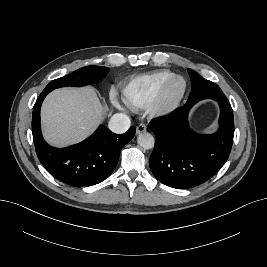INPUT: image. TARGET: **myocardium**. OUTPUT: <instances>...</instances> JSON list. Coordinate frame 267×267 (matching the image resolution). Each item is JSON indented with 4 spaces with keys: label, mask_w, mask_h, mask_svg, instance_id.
<instances>
[{
    "label": "myocardium",
    "mask_w": 267,
    "mask_h": 267,
    "mask_svg": "<svg viewBox=\"0 0 267 267\" xmlns=\"http://www.w3.org/2000/svg\"><path fill=\"white\" fill-rule=\"evenodd\" d=\"M176 80H181L183 82V89L176 98L170 100L167 98V92L171 84ZM186 92L187 81L185 78L180 75H173L161 85L155 97L147 106L149 114L153 117H162L174 112L180 106Z\"/></svg>",
    "instance_id": "1"
}]
</instances>
